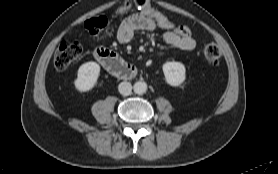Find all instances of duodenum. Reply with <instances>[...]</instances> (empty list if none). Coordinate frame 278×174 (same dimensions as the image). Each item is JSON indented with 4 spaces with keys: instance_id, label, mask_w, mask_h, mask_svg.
<instances>
[{
    "instance_id": "obj_1",
    "label": "duodenum",
    "mask_w": 278,
    "mask_h": 174,
    "mask_svg": "<svg viewBox=\"0 0 278 174\" xmlns=\"http://www.w3.org/2000/svg\"><path fill=\"white\" fill-rule=\"evenodd\" d=\"M95 58L108 72L115 76L130 78L136 74L135 68L113 51L99 48L95 51Z\"/></svg>"
}]
</instances>
